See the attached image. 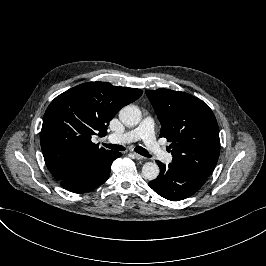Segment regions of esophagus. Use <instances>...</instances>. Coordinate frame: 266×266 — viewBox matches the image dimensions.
I'll return each mask as SVG.
<instances>
[{
    "mask_svg": "<svg viewBox=\"0 0 266 266\" xmlns=\"http://www.w3.org/2000/svg\"><path fill=\"white\" fill-rule=\"evenodd\" d=\"M133 155H134L135 159H137V160H144L145 159V157H143L142 155H140L138 153L133 152Z\"/></svg>",
    "mask_w": 266,
    "mask_h": 266,
    "instance_id": "34e87169",
    "label": "esophagus"
}]
</instances>
